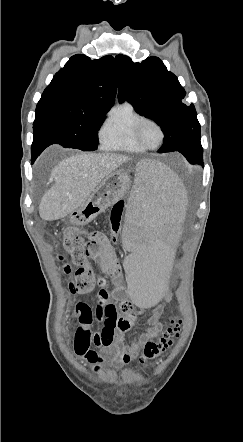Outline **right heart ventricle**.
Segmentation results:
<instances>
[{
	"label": "right heart ventricle",
	"mask_w": 243,
	"mask_h": 442,
	"mask_svg": "<svg viewBox=\"0 0 243 442\" xmlns=\"http://www.w3.org/2000/svg\"><path fill=\"white\" fill-rule=\"evenodd\" d=\"M142 117L130 102L113 107L99 133L104 149L134 154L145 152L134 136L135 125Z\"/></svg>",
	"instance_id": "1"
}]
</instances>
